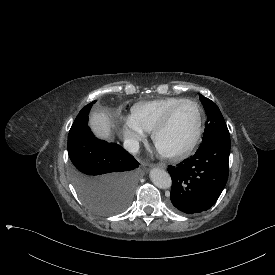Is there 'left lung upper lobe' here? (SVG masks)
I'll return each mask as SVG.
<instances>
[{"instance_id":"obj_1","label":"left lung upper lobe","mask_w":275,"mask_h":275,"mask_svg":"<svg viewBox=\"0 0 275 275\" xmlns=\"http://www.w3.org/2000/svg\"><path fill=\"white\" fill-rule=\"evenodd\" d=\"M199 98L207 113V123L202 143L215 138L230 136L224 118L217 105L203 95H199Z\"/></svg>"}]
</instances>
